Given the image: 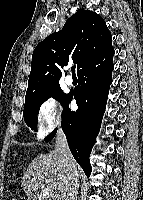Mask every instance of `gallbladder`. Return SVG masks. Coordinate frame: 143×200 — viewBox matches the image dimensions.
Returning a JSON list of instances; mask_svg holds the SVG:
<instances>
[{
  "mask_svg": "<svg viewBox=\"0 0 143 200\" xmlns=\"http://www.w3.org/2000/svg\"><path fill=\"white\" fill-rule=\"evenodd\" d=\"M32 200H37V197H32Z\"/></svg>",
  "mask_w": 143,
  "mask_h": 200,
  "instance_id": "1",
  "label": "gallbladder"
}]
</instances>
